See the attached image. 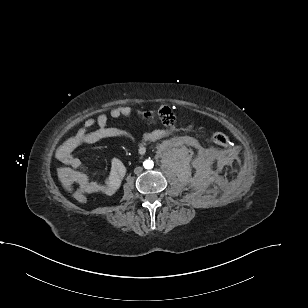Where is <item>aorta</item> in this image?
I'll use <instances>...</instances> for the list:
<instances>
[{
  "mask_svg": "<svg viewBox=\"0 0 308 308\" xmlns=\"http://www.w3.org/2000/svg\"><path fill=\"white\" fill-rule=\"evenodd\" d=\"M143 165H144V168L146 169H152L154 166V163L151 160H146L144 161Z\"/></svg>",
  "mask_w": 308,
  "mask_h": 308,
  "instance_id": "1",
  "label": "aorta"
}]
</instances>
